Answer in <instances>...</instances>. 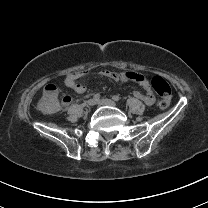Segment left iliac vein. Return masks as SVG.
Masks as SVG:
<instances>
[{"label":"left iliac vein","mask_w":208,"mask_h":208,"mask_svg":"<svg viewBox=\"0 0 208 208\" xmlns=\"http://www.w3.org/2000/svg\"><path fill=\"white\" fill-rule=\"evenodd\" d=\"M97 103L99 105H105V106H111V107L116 106V103L113 100L108 99V98H103V99L99 100Z\"/></svg>","instance_id":"1"}]
</instances>
